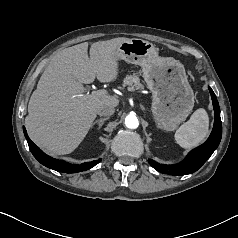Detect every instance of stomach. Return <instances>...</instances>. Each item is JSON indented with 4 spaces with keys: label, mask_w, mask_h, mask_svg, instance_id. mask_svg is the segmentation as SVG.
<instances>
[{
    "label": "stomach",
    "mask_w": 238,
    "mask_h": 238,
    "mask_svg": "<svg viewBox=\"0 0 238 238\" xmlns=\"http://www.w3.org/2000/svg\"><path fill=\"white\" fill-rule=\"evenodd\" d=\"M117 59L141 66L143 78L152 92L151 111L158 127L175 130L191 113L194 93L183 64L170 57L159 56L152 43L134 38L116 50Z\"/></svg>",
    "instance_id": "1"
}]
</instances>
